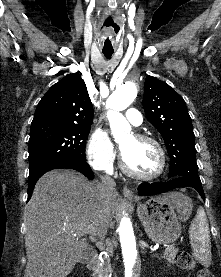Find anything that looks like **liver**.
<instances>
[{"label": "liver", "instance_id": "1", "mask_svg": "<svg viewBox=\"0 0 221 277\" xmlns=\"http://www.w3.org/2000/svg\"><path fill=\"white\" fill-rule=\"evenodd\" d=\"M101 183L89 182L73 170H52L36 183L25 209L27 265L24 277H66L80 261L88 245L79 240L90 234L105 237L117 209V192L104 198ZM163 198L178 206L183 197ZM91 227L95 235L85 232Z\"/></svg>", "mask_w": 221, "mask_h": 277}]
</instances>
